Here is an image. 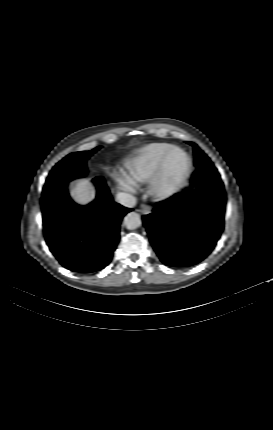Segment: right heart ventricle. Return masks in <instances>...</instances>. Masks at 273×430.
Returning a JSON list of instances; mask_svg holds the SVG:
<instances>
[{
	"mask_svg": "<svg viewBox=\"0 0 273 430\" xmlns=\"http://www.w3.org/2000/svg\"><path fill=\"white\" fill-rule=\"evenodd\" d=\"M173 147L170 143H149L140 148L126 162L127 177L133 184L149 181L164 153Z\"/></svg>",
	"mask_w": 273,
	"mask_h": 430,
	"instance_id": "e07e8e85",
	"label": "right heart ventricle"
}]
</instances>
